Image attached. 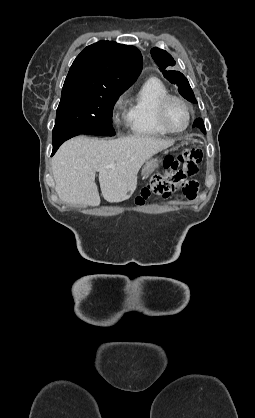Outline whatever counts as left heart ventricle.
<instances>
[{"label": "left heart ventricle", "instance_id": "1", "mask_svg": "<svg viewBox=\"0 0 255 418\" xmlns=\"http://www.w3.org/2000/svg\"><path fill=\"white\" fill-rule=\"evenodd\" d=\"M167 122L173 129H181L187 123L186 108L178 101H172L167 109Z\"/></svg>", "mask_w": 255, "mask_h": 418}]
</instances>
